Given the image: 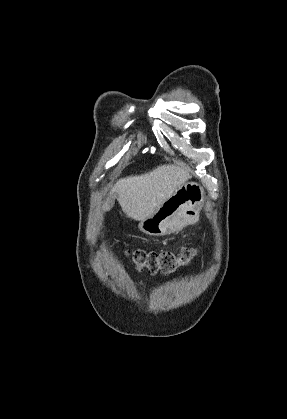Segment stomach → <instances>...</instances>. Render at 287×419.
<instances>
[{
  "label": "stomach",
  "instance_id": "obj_1",
  "mask_svg": "<svg viewBox=\"0 0 287 419\" xmlns=\"http://www.w3.org/2000/svg\"><path fill=\"white\" fill-rule=\"evenodd\" d=\"M205 199V191L200 184L185 183L153 215L141 220L138 227L148 235H169L197 218Z\"/></svg>",
  "mask_w": 287,
  "mask_h": 419
}]
</instances>
